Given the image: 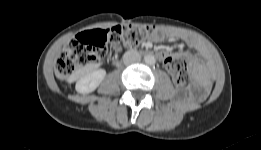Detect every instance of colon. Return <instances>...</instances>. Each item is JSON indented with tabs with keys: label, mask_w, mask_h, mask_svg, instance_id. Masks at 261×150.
<instances>
[{
	"label": "colon",
	"mask_w": 261,
	"mask_h": 150,
	"mask_svg": "<svg viewBox=\"0 0 261 150\" xmlns=\"http://www.w3.org/2000/svg\"><path fill=\"white\" fill-rule=\"evenodd\" d=\"M153 33L154 28L151 26L133 25H119L81 33L60 54L55 65V74L58 79L67 81L80 68L97 65L106 54L108 42L118 50H124L136 47ZM167 69L179 87L189 83V63L185 57L169 59Z\"/></svg>",
	"instance_id": "colon-1"
}]
</instances>
